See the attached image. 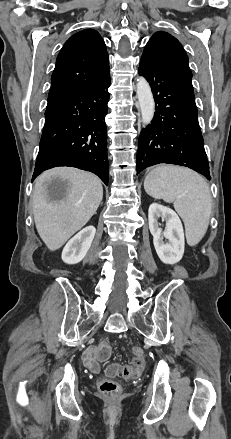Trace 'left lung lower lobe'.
<instances>
[{
	"label": "left lung lower lobe",
	"instance_id": "left-lung-lower-lobe-1",
	"mask_svg": "<svg viewBox=\"0 0 231 439\" xmlns=\"http://www.w3.org/2000/svg\"><path fill=\"white\" fill-rule=\"evenodd\" d=\"M139 74L151 86L156 112L139 137L137 174L151 165L167 163L189 167L210 180L190 82L148 50L143 52Z\"/></svg>",
	"mask_w": 231,
	"mask_h": 439
}]
</instances>
